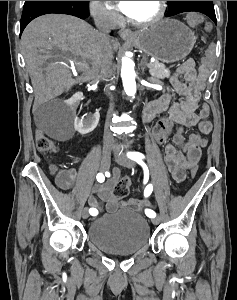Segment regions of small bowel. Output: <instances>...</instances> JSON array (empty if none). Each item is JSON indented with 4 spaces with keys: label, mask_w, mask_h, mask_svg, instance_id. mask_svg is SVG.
<instances>
[{
    "label": "small bowel",
    "mask_w": 237,
    "mask_h": 300,
    "mask_svg": "<svg viewBox=\"0 0 237 300\" xmlns=\"http://www.w3.org/2000/svg\"><path fill=\"white\" fill-rule=\"evenodd\" d=\"M209 76V67L203 65L197 67L193 59L184 61L170 80L174 92L150 102L143 112L144 123L157 119L152 127V137L157 143L164 144L166 165L176 182L184 181L186 170L198 162L201 150L208 143L206 135L213 128L212 122L208 120L209 106L207 103H201V94ZM165 112L168 115L159 118ZM184 127H197L199 134H190L185 142ZM51 173L55 176L57 186L63 190L71 188L90 190L89 204L97 211L96 215L103 210L114 212L120 206L134 209L146 206V203L137 199L120 203L113 196L112 190L119 180L118 170L102 184H93L89 177L84 178L73 167L52 166Z\"/></svg>",
    "instance_id": "c3829d8e"
}]
</instances>
